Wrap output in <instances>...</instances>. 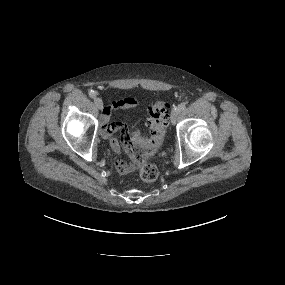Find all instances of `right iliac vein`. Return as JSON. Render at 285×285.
<instances>
[{
	"label": "right iliac vein",
	"mask_w": 285,
	"mask_h": 285,
	"mask_svg": "<svg viewBox=\"0 0 285 285\" xmlns=\"http://www.w3.org/2000/svg\"><path fill=\"white\" fill-rule=\"evenodd\" d=\"M94 103H95V105H96V107H97L98 109H102V108H103V101H102L101 98L96 97V98L94 99Z\"/></svg>",
	"instance_id": "right-iliac-vein-1"
}]
</instances>
